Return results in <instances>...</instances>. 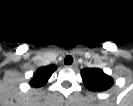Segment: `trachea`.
<instances>
[{
  "label": "trachea",
  "mask_w": 133,
  "mask_h": 106,
  "mask_svg": "<svg viewBox=\"0 0 133 106\" xmlns=\"http://www.w3.org/2000/svg\"><path fill=\"white\" fill-rule=\"evenodd\" d=\"M64 63H65L66 65L72 64V63H73V58H72V56H66L65 59H64Z\"/></svg>",
  "instance_id": "obj_1"
}]
</instances>
